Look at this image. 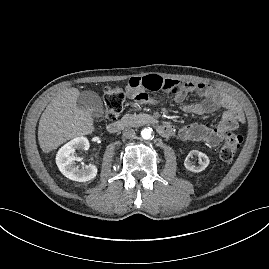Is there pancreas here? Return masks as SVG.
I'll use <instances>...</instances> for the list:
<instances>
[{
	"instance_id": "1",
	"label": "pancreas",
	"mask_w": 269,
	"mask_h": 269,
	"mask_svg": "<svg viewBox=\"0 0 269 269\" xmlns=\"http://www.w3.org/2000/svg\"><path fill=\"white\" fill-rule=\"evenodd\" d=\"M147 117L148 116L146 114H125L121 118V122L126 126L138 127L147 122Z\"/></svg>"
}]
</instances>
